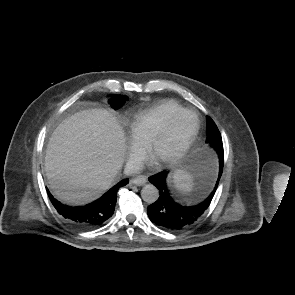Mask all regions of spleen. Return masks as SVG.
Returning a JSON list of instances; mask_svg holds the SVG:
<instances>
[{
    "label": "spleen",
    "instance_id": "3e777b00",
    "mask_svg": "<svg viewBox=\"0 0 295 295\" xmlns=\"http://www.w3.org/2000/svg\"><path fill=\"white\" fill-rule=\"evenodd\" d=\"M175 187L182 194H188L193 189V176L182 170H177L173 175Z\"/></svg>",
    "mask_w": 295,
    "mask_h": 295
}]
</instances>
